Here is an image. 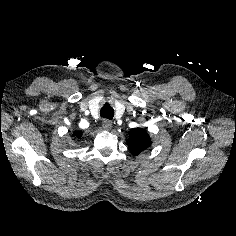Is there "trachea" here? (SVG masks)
Instances as JSON below:
<instances>
[{"label":"trachea","mask_w":236,"mask_h":236,"mask_svg":"<svg viewBox=\"0 0 236 236\" xmlns=\"http://www.w3.org/2000/svg\"><path fill=\"white\" fill-rule=\"evenodd\" d=\"M100 115L103 118L111 120L114 117V109L110 106V104L106 103L102 106Z\"/></svg>","instance_id":"trachea-1"}]
</instances>
